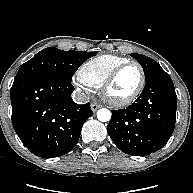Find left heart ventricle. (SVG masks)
I'll return each mask as SVG.
<instances>
[{"label":"left heart ventricle","mask_w":193,"mask_h":193,"mask_svg":"<svg viewBox=\"0 0 193 193\" xmlns=\"http://www.w3.org/2000/svg\"><path fill=\"white\" fill-rule=\"evenodd\" d=\"M140 72L137 67L125 68L115 79L109 89V95L115 99H123L130 96L138 87Z\"/></svg>","instance_id":"b2bd125f"}]
</instances>
